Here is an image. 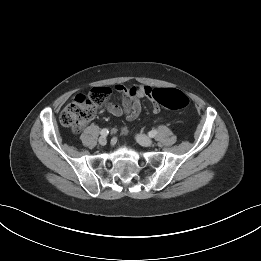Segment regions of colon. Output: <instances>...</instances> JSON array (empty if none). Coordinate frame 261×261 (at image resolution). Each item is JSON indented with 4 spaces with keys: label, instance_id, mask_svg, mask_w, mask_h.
Masks as SVG:
<instances>
[{
    "label": "colon",
    "instance_id": "obj_1",
    "mask_svg": "<svg viewBox=\"0 0 261 261\" xmlns=\"http://www.w3.org/2000/svg\"><path fill=\"white\" fill-rule=\"evenodd\" d=\"M111 90L106 87H96L85 94L78 95L72 103L67 105L60 114L62 125L79 132L96 115L103 106ZM155 104L170 110L184 109L189 105L188 96L177 89H154L151 95Z\"/></svg>",
    "mask_w": 261,
    "mask_h": 261
}]
</instances>
